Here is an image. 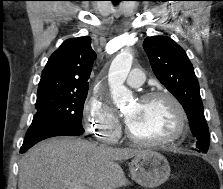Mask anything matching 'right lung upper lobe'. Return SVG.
I'll return each instance as SVG.
<instances>
[{
    "instance_id": "cb5924a9",
    "label": "right lung upper lobe",
    "mask_w": 223,
    "mask_h": 189,
    "mask_svg": "<svg viewBox=\"0 0 223 189\" xmlns=\"http://www.w3.org/2000/svg\"><path fill=\"white\" fill-rule=\"evenodd\" d=\"M95 58L90 37L64 41L42 71L37 93L88 89Z\"/></svg>"
}]
</instances>
